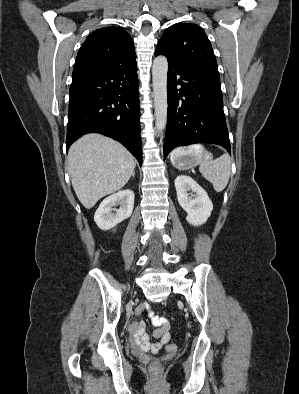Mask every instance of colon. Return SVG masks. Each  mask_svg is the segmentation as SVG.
<instances>
[{"label":"colon","instance_id":"1","mask_svg":"<svg viewBox=\"0 0 299 394\" xmlns=\"http://www.w3.org/2000/svg\"><path fill=\"white\" fill-rule=\"evenodd\" d=\"M172 347H173V345L170 346V348H172ZM158 368H159V364H158V363H153V364L151 365V369H152L153 371H157Z\"/></svg>","mask_w":299,"mask_h":394}]
</instances>
